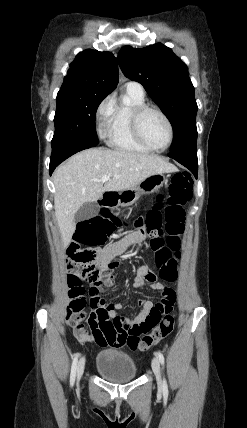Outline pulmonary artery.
I'll use <instances>...</instances> for the list:
<instances>
[{
  "label": "pulmonary artery",
  "mask_w": 247,
  "mask_h": 428,
  "mask_svg": "<svg viewBox=\"0 0 247 428\" xmlns=\"http://www.w3.org/2000/svg\"><path fill=\"white\" fill-rule=\"evenodd\" d=\"M126 87H130V88H134L140 91H143V87L140 83L135 82V81H129L126 83Z\"/></svg>",
  "instance_id": "pulmonary-artery-1"
}]
</instances>
